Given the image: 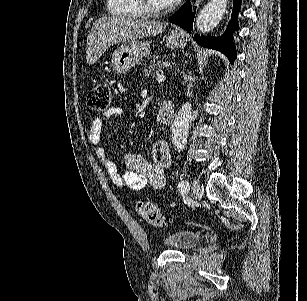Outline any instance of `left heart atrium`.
I'll return each instance as SVG.
<instances>
[{
    "label": "left heart atrium",
    "instance_id": "39dd6f15",
    "mask_svg": "<svg viewBox=\"0 0 307 301\" xmlns=\"http://www.w3.org/2000/svg\"><path fill=\"white\" fill-rule=\"evenodd\" d=\"M160 4H180L181 0H159Z\"/></svg>",
    "mask_w": 307,
    "mask_h": 301
}]
</instances>
